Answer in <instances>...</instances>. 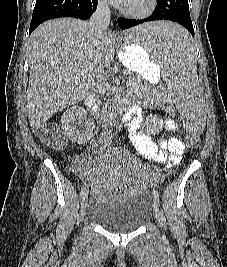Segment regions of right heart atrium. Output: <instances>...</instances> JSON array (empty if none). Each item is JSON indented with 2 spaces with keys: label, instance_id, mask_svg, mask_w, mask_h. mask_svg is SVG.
Wrapping results in <instances>:
<instances>
[{
  "label": "right heart atrium",
  "instance_id": "right-heart-atrium-1",
  "mask_svg": "<svg viewBox=\"0 0 227 267\" xmlns=\"http://www.w3.org/2000/svg\"><path fill=\"white\" fill-rule=\"evenodd\" d=\"M107 1L108 0H98V4L101 8H106L107 7Z\"/></svg>",
  "mask_w": 227,
  "mask_h": 267
}]
</instances>
